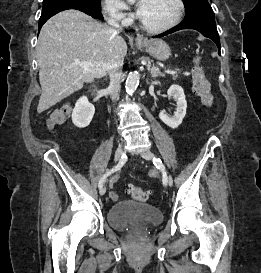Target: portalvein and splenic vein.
Masks as SVG:
<instances>
[{
    "label": "portal vein and splenic vein",
    "mask_w": 261,
    "mask_h": 273,
    "mask_svg": "<svg viewBox=\"0 0 261 273\" xmlns=\"http://www.w3.org/2000/svg\"><path fill=\"white\" fill-rule=\"evenodd\" d=\"M78 66H81L84 68V70L88 71L90 69V67L95 66V64L91 63V62H76L75 63ZM166 73H170V74H177V70H165Z\"/></svg>",
    "instance_id": "obj_1"
}]
</instances>
